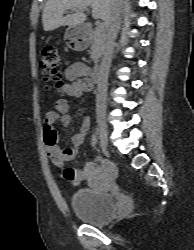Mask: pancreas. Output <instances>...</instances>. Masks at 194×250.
<instances>
[{"label":"pancreas","instance_id":"1","mask_svg":"<svg viewBox=\"0 0 194 250\" xmlns=\"http://www.w3.org/2000/svg\"><path fill=\"white\" fill-rule=\"evenodd\" d=\"M91 39V60L97 63L102 56L104 49V41H105V30L95 28L91 31L90 34Z\"/></svg>","mask_w":194,"mask_h":250}]
</instances>
